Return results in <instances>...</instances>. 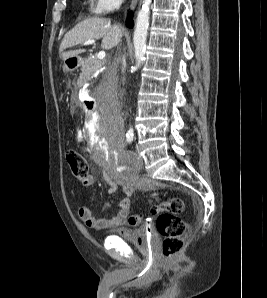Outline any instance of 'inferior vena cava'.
I'll return each instance as SVG.
<instances>
[{"instance_id":"inferior-vena-cava-1","label":"inferior vena cava","mask_w":267,"mask_h":298,"mask_svg":"<svg viewBox=\"0 0 267 298\" xmlns=\"http://www.w3.org/2000/svg\"><path fill=\"white\" fill-rule=\"evenodd\" d=\"M118 2L121 4L122 3V0H118ZM122 72L124 73V70H122ZM125 79L123 78V81H124Z\"/></svg>"}]
</instances>
